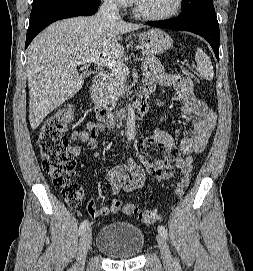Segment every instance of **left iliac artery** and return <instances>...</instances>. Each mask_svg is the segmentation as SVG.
Instances as JSON below:
<instances>
[{"instance_id": "left-iliac-artery-1", "label": "left iliac artery", "mask_w": 253, "mask_h": 271, "mask_svg": "<svg viewBox=\"0 0 253 271\" xmlns=\"http://www.w3.org/2000/svg\"><path fill=\"white\" fill-rule=\"evenodd\" d=\"M158 232L165 238H167L168 234H167V230L165 229L164 226L159 225L158 226ZM174 265H175V269L176 271H182L181 267L179 265V262L177 261V259L174 260Z\"/></svg>"}]
</instances>
